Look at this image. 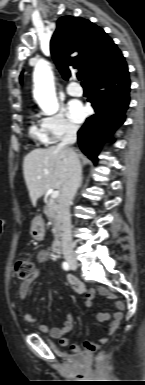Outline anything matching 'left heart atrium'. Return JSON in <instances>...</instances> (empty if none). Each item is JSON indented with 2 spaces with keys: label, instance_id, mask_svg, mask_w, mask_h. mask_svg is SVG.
Listing matches in <instances>:
<instances>
[{
  "label": "left heart atrium",
  "instance_id": "left-heart-atrium-1",
  "mask_svg": "<svg viewBox=\"0 0 145 385\" xmlns=\"http://www.w3.org/2000/svg\"><path fill=\"white\" fill-rule=\"evenodd\" d=\"M69 117L75 122H81L86 116V109L79 101H71L68 105Z\"/></svg>",
  "mask_w": 145,
  "mask_h": 385
}]
</instances>
